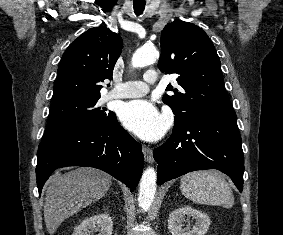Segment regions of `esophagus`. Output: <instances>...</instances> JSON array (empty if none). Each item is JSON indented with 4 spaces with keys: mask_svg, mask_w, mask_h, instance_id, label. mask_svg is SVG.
Instances as JSON below:
<instances>
[{
    "mask_svg": "<svg viewBox=\"0 0 283 235\" xmlns=\"http://www.w3.org/2000/svg\"><path fill=\"white\" fill-rule=\"evenodd\" d=\"M144 159L147 163H153V151L148 146H143L142 148Z\"/></svg>",
    "mask_w": 283,
    "mask_h": 235,
    "instance_id": "34e87169",
    "label": "esophagus"
}]
</instances>
